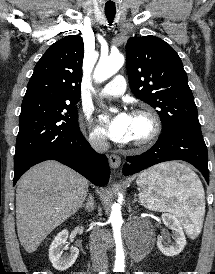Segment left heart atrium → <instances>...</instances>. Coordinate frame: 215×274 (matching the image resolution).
Segmentation results:
<instances>
[{
  "label": "left heart atrium",
  "instance_id": "left-heart-atrium-1",
  "mask_svg": "<svg viewBox=\"0 0 215 274\" xmlns=\"http://www.w3.org/2000/svg\"><path fill=\"white\" fill-rule=\"evenodd\" d=\"M101 119H106V115L102 114ZM131 125L132 116L121 110L109 118L106 124L107 135L115 142H127L130 139Z\"/></svg>",
  "mask_w": 215,
  "mask_h": 274
}]
</instances>
